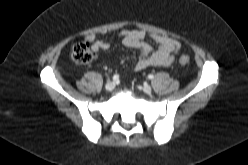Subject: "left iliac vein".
<instances>
[{
    "mask_svg": "<svg viewBox=\"0 0 248 165\" xmlns=\"http://www.w3.org/2000/svg\"><path fill=\"white\" fill-rule=\"evenodd\" d=\"M143 91L147 94H150L152 92V88H151V86L145 84V85H143Z\"/></svg>",
    "mask_w": 248,
    "mask_h": 165,
    "instance_id": "obj_1",
    "label": "left iliac vein"
}]
</instances>
